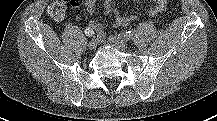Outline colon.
Masks as SVG:
<instances>
[{"instance_id": "colon-1", "label": "colon", "mask_w": 217, "mask_h": 121, "mask_svg": "<svg viewBox=\"0 0 217 121\" xmlns=\"http://www.w3.org/2000/svg\"><path fill=\"white\" fill-rule=\"evenodd\" d=\"M66 1L57 0L51 3L47 9L49 16L54 20H62L66 14Z\"/></svg>"}]
</instances>
